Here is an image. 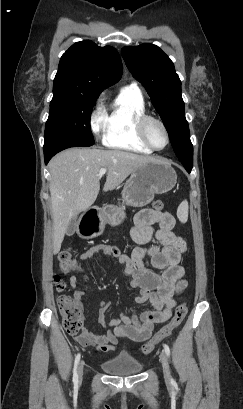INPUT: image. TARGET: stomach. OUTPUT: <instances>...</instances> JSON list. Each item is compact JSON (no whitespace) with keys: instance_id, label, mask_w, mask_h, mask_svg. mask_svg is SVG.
<instances>
[{"instance_id":"stomach-1","label":"stomach","mask_w":243,"mask_h":409,"mask_svg":"<svg viewBox=\"0 0 243 409\" xmlns=\"http://www.w3.org/2000/svg\"><path fill=\"white\" fill-rule=\"evenodd\" d=\"M176 182L177 174L169 163L149 161L131 173L122 190V198L129 206L143 207L154 199L155 194L170 191ZM124 218L123 209L109 205L103 209L99 218L79 227V235L83 238L97 237L103 233L106 223L117 226Z\"/></svg>"}]
</instances>
